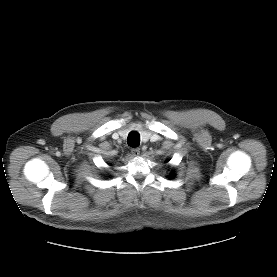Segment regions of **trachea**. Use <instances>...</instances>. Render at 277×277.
I'll return each mask as SVG.
<instances>
[{
    "mask_svg": "<svg viewBox=\"0 0 277 277\" xmlns=\"http://www.w3.org/2000/svg\"><path fill=\"white\" fill-rule=\"evenodd\" d=\"M127 143L131 147H137L140 144V135L139 133L133 131L127 137Z\"/></svg>",
    "mask_w": 277,
    "mask_h": 277,
    "instance_id": "1",
    "label": "trachea"
}]
</instances>
